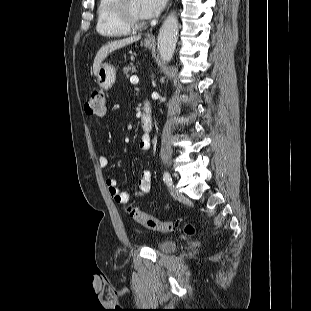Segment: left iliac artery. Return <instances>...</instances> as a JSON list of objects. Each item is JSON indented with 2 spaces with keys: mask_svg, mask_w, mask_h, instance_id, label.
<instances>
[{
  "mask_svg": "<svg viewBox=\"0 0 311 311\" xmlns=\"http://www.w3.org/2000/svg\"><path fill=\"white\" fill-rule=\"evenodd\" d=\"M163 180L168 186H172V178L168 172H164Z\"/></svg>",
  "mask_w": 311,
  "mask_h": 311,
  "instance_id": "1",
  "label": "left iliac artery"
}]
</instances>
